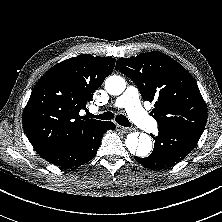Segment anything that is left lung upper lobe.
Masks as SVG:
<instances>
[{"label":"left lung upper lobe","instance_id":"5c2ea615","mask_svg":"<svg viewBox=\"0 0 222 222\" xmlns=\"http://www.w3.org/2000/svg\"><path fill=\"white\" fill-rule=\"evenodd\" d=\"M116 70L131 78L144 100H155L151 115L159 125L203 132L207 107L189 72L169 56L153 51L120 58Z\"/></svg>","mask_w":222,"mask_h":222}]
</instances>
